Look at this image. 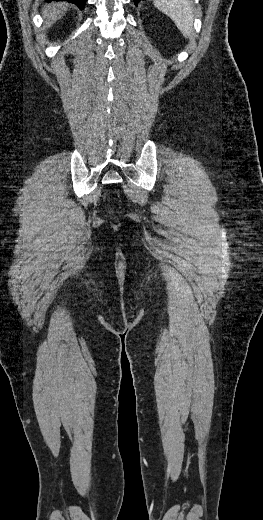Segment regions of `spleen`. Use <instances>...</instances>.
I'll return each instance as SVG.
<instances>
[{
	"label": "spleen",
	"instance_id": "spleen-1",
	"mask_svg": "<svg viewBox=\"0 0 263 520\" xmlns=\"http://www.w3.org/2000/svg\"><path fill=\"white\" fill-rule=\"evenodd\" d=\"M154 5L175 23L186 38H191L193 29V3L190 0H154Z\"/></svg>",
	"mask_w": 263,
	"mask_h": 520
}]
</instances>
